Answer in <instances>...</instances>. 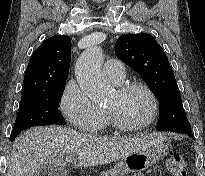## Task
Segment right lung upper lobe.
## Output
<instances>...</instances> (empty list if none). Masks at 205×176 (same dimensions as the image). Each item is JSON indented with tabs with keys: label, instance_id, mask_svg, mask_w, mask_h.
Listing matches in <instances>:
<instances>
[{
	"label": "right lung upper lobe",
	"instance_id": "right-lung-upper-lobe-1",
	"mask_svg": "<svg viewBox=\"0 0 205 176\" xmlns=\"http://www.w3.org/2000/svg\"><path fill=\"white\" fill-rule=\"evenodd\" d=\"M71 60V40L66 35L46 39L33 53L22 85V96L66 83Z\"/></svg>",
	"mask_w": 205,
	"mask_h": 176
}]
</instances>
